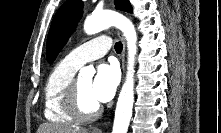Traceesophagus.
Here are the masks:
<instances>
[{
	"label": "esophagus",
	"instance_id": "34e87169",
	"mask_svg": "<svg viewBox=\"0 0 221 133\" xmlns=\"http://www.w3.org/2000/svg\"><path fill=\"white\" fill-rule=\"evenodd\" d=\"M118 35L120 36V38L122 40V43H123L121 60H122V70L124 72V70H125V50H126V44H125V39H124V36H123L122 32L118 31ZM93 133H102V129L101 128H94L93 129Z\"/></svg>",
	"mask_w": 221,
	"mask_h": 133
}]
</instances>
